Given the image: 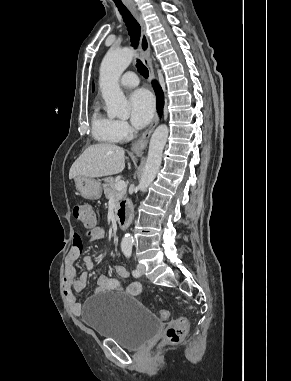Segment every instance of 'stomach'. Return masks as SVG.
<instances>
[{"mask_svg": "<svg viewBox=\"0 0 291 381\" xmlns=\"http://www.w3.org/2000/svg\"><path fill=\"white\" fill-rule=\"evenodd\" d=\"M74 180L77 190L85 199L97 200L101 197L102 188L98 180L85 176H76Z\"/></svg>", "mask_w": 291, "mask_h": 381, "instance_id": "obj_1", "label": "stomach"}]
</instances>
